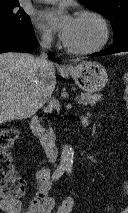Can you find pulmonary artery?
<instances>
[{"label":"pulmonary artery","instance_id":"obj_1","mask_svg":"<svg viewBox=\"0 0 128 213\" xmlns=\"http://www.w3.org/2000/svg\"><path fill=\"white\" fill-rule=\"evenodd\" d=\"M41 2H45V3H50V2H55V1H58V0H39Z\"/></svg>","mask_w":128,"mask_h":213}]
</instances>
